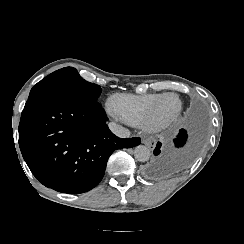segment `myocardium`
Here are the masks:
<instances>
[{
  "mask_svg": "<svg viewBox=\"0 0 244 244\" xmlns=\"http://www.w3.org/2000/svg\"><path fill=\"white\" fill-rule=\"evenodd\" d=\"M168 96L174 97L177 101V105L173 109V111L171 112L169 117L160 118V121L155 124L156 129L166 128L170 123H172L174 121V119L176 118L177 114L179 113V111L181 109L182 102H181V99L179 98V96L173 92H165L156 97L155 106L152 109L153 115L157 114L158 112L161 113L162 110L160 108V102L163 98L168 97Z\"/></svg>",
  "mask_w": 244,
  "mask_h": 244,
  "instance_id": "myocardium-1",
  "label": "myocardium"
}]
</instances>
